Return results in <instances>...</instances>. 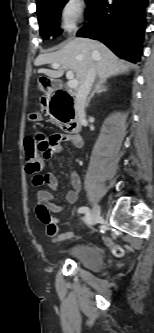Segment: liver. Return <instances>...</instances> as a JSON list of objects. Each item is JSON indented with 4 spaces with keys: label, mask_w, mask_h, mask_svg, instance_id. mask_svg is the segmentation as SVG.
<instances>
[{
    "label": "liver",
    "mask_w": 154,
    "mask_h": 333,
    "mask_svg": "<svg viewBox=\"0 0 154 333\" xmlns=\"http://www.w3.org/2000/svg\"><path fill=\"white\" fill-rule=\"evenodd\" d=\"M49 63H59L57 70L39 69L51 78H60L66 70L75 73L81 85L85 80L88 69L95 66L100 79H107L120 73L128 72L130 64L119 59L105 45L88 38H73L65 43L58 51L39 55L34 64L40 66Z\"/></svg>",
    "instance_id": "6515ba94"
}]
</instances>
